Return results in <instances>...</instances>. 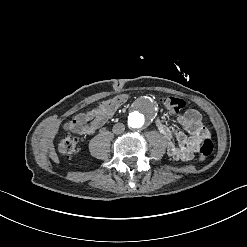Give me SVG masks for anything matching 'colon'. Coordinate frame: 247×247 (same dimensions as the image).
Listing matches in <instances>:
<instances>
[{
  "mask_svg": "<svg viewBox=\"0 0 247 247\" xmlns=\"http://www.w3.org/2000/svg\"><path fill=\"white\" fill-rule=\"evenodd\" d=\"M127 94L125 92H117L115 96H105L104 100H100L99 107L101 109V115L99 119L104 121L106 116H114L116 105H125ZM186 103L184 100L166 97L163 100V107L166 110L172 112H178L185 107ZM79 150L78 137L75 133L68 132L63 135L59 144L60 153L67 157L72 158L77 155ZM214 150V143L212 139L202 142L199 147V156L201 160H205L209 157Z\"/></svg>",
  "mask_w": 247,
  "mask_h": 247,
  "instance_id": "colon-1",
  "label": "colon"
}]
</instances>
